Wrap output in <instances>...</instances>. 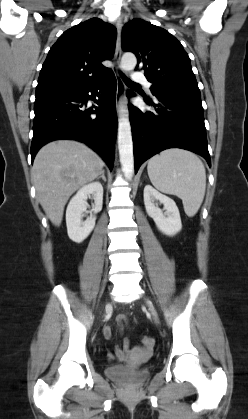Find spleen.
Returning a JSON list of instances; mask_svg holds the SVG:
<instances>
[{"mask_svg":"<svg viewBox=\"0 0 248 419\" xmlns=\"http://www.w3.org/2000/svg\"><path fill=\"white\" fill-rule=\"evenodd\" d=\"M147 171L158 190L182 200L187 216L198 212L205 196L206 171L196 154L179 148L164 150L149 160Z\"/></svg>","mask_w":248,"mask_h":419,"instance_id":"1","label":"spleen"}]
</instances>
